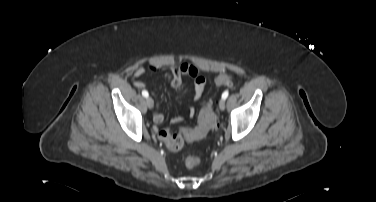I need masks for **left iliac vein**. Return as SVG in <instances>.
<instances>
[{
    "mask_svg": "<svg viewBox=\"0 0 376 202\" xmlns=\"http://www.w3.org/2000/svg\"><path fill=\"white\" fill-rule=\"evenodd\" d=\"M226 106L225 99H221L219 102V108L220 110H224Z\"/></svg>",
    "mask_w": 376,
    "mask_h": 202,
    "instance_id": "obj_1",
    "label": "left iliac vein"
}]
</instances>
